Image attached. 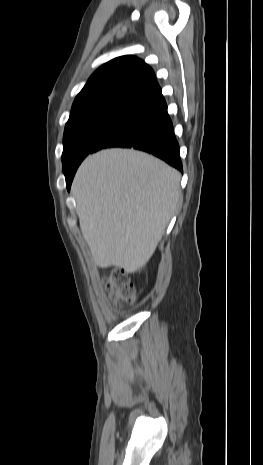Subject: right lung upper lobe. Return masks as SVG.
Here are the masks:
<instances>
[{
	"label": "right lung upper lobe",
	"mask_w": 263,
	"mask_h": 465,
	"mask_svg": "<svg viewBox=\"0 0 263 465\" xmlns=\"http://www.w3.org/2000/svg\"><path fill=\"white\" fill-rule=\"evenodd\" d=\"M159 88L153 70L133 56L115 58L97 69L81 92L72 109L86 103L106 98L139 100Z\"/></svg>",
	"instance_id": "right-lung-upper-lobe-1"
}]
</instances>
